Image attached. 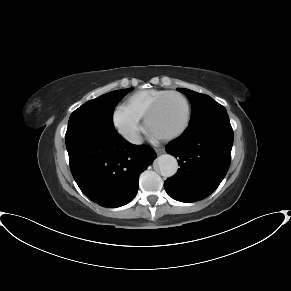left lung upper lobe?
I'll use <instances>...</instances> for the list:
<instances>
[{"instance_id": "1", "label": "left lung upper lobe", "mask_w": 291, "mask_h": 291, "mask_svg": "<svg viewBox=\"0 0 291 291\" xmlns=\"http://www.w3.org/2000/svg\"><path fill=\"white\" fill-rule=\"evenodd\" d=\"M191 102L192 115L188 128L196 127L205 121L227 113L224 106L214 101L210 96L200 94L185 88H178Z\"/></svg>"}]
</instances>
